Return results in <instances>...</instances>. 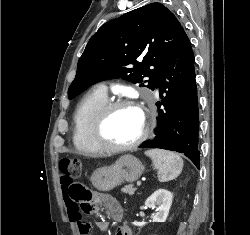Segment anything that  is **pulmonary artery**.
<instances>
[{"instance_id": "pulmonary-artery-1", "label": "pulmonary artery", "mask_w": 250, "mask_h": 235, "mask_svg": "<svg viewBox=\"0 0 250 235\" xmlns=\"http://www.w3.org/2000/svg\"><path fill=\"white\" fill-rule=\"evenodd\" d=\"M100 89L103 90L104 92H106V87L105 86H100Z\"/></svg>"}]
</instances>
